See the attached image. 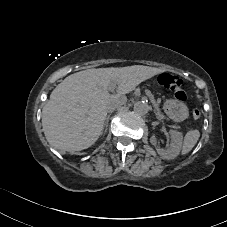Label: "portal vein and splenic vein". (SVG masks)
I'll return each mask as SVG.
<instances>
[{
    "mask_svg": "<svg viewBox=\"0 0 227 227\" xmlns=\"http://www.w3.org/2000/svg\"><path fill=\"white\" fill-rule=\"evenodd\" d=\"M113 88H114V86H112ZM145 94L146 95H149L150 97L153 95L149 90H145ZM152 101H151V103L153 104V106L156 108L158 105H157V102L154 100L155 98L152 96L151 98H150ZM158 111L160 110L159 108L157 109ZM158 117L159 118H162L163 117V114L162 113H159L158 114Z\"/></svg>",
    "mask_w": 227,
    "mask_h": 227,
    "instance_id": "1",
    "label": "portal vein and splenic vein"
}]
</instances>
